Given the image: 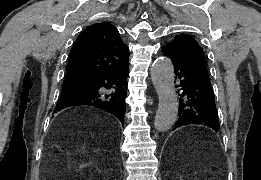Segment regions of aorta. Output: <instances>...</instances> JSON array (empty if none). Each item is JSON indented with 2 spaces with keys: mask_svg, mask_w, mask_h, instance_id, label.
Listing matches in <instances>:
<instances>
[{
  "mask_svg": "<svg viewBox=\"0 0 261 180\" xmlns=\"http://www.w3.org/2000/svg\"><path fill=\"white\" fill-rule=\"evenodd\" d=\"M151 79L159 100L154 126L156 130L164 132L172 128L178 116L172 61L167 57L158 58L151 68Z\"/></svg>",
  "mask_w": 261,
  "mask_h": 180,
  "instance_id": "aorta-1",
  "label": "aorta"
}]
</instances>
